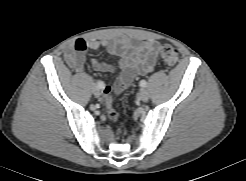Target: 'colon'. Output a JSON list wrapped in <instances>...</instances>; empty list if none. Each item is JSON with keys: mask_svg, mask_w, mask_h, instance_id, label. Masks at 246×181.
I'll use <instances>...</instances> for the list:
<instances>
[{"mask_svg": "<svg viewBox=\"0 0 246 181\" xmlns=\"http://www.w3.org/2000/svg\"><path fill=\"white\" fill-rule=\"evenodd\" d=\"M160 55L163 59V61L168 65V66H174L178 62V52L177 50L169 44H164L160 48ZM104 93V102H105V107H106V112L111 120H116L118 118V112L114 108L113 101L110 97V90L109 87H106L105 90L103 91Z\"/></svg>", "mask_w": 246, "mask_h": 181, "instance_id": "1", "label": "colon"}]
</instances>
